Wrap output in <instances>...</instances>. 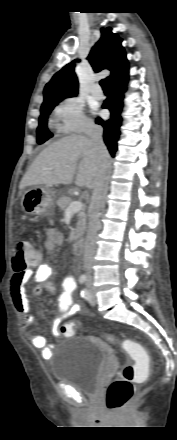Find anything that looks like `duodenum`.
I'll return each instance as SVG.
<instances>
[{"label":"duodenum","mask_w":177,"mask_h":440,"mask_svg":"<svg viewBox=\"0 0 177 440\" xmlns=\"http://www.w3.org/2000/svg\"><path fill=\"white\" fill-rule=\"evenodd\" d=\"M84 250V244L81 239H77L73 244V251L77 255H81Z\"/></svg>","instance_id":"1"}]
</instances>
